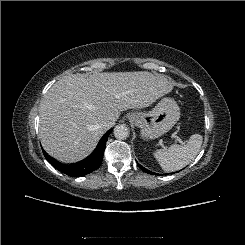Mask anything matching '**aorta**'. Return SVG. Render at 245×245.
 Masks as SVG:
<instances>
[{
	"instance_id": "obj_1",
	"label": "aorta",
	"mask_w": 245,
	"mask_h": 245,
	"mask_svg": "<svg viewBox=\"0 0 245 245\" xmlns=\"http://www.w3.org/2000/svg\"><path fill=\"white\" fill-rule=\"evenodd\" d=\"M129 134H130L129 128L125 124L117 125L114 128V136L117 139L124 140L127 137H129Z\"/></svg>"
}]
</instances>
